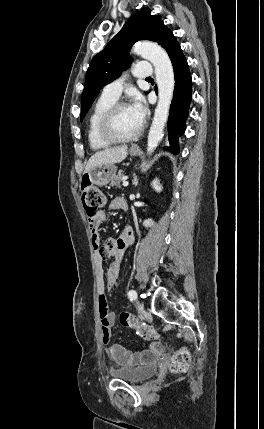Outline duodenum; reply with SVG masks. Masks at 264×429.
<instances>
[{
    "mask_svg": "<svg viewBox=\"0 0 264 429\" xmlns=\"http://www.w3.org/2000/svg\"><path fill=\"white\" fill-rule=\"evenodd\" d=\"M126 209H127L126 203L122 204V210H126Z\"/></svg>",
    "mask_w": 264,
    "mask_h": 429,
    "instance_id": "duodenum-1",
    "label": "duodenum"
}]
</instances>
